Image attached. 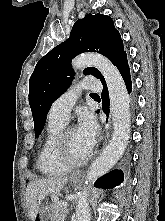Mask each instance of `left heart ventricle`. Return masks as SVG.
<instances>
[{"label": "left heart ventricle", "instance_id": "obj_1", "mask_svg": "<svg viewBox=\"0 0 165 221\" xmlns=\"http://www.w3.org/2000/svg\"><path fill=\"white\" fill-rule=\"evenodd\" d=\"M67 148L69 154L74 159L83 158L91 149L77 129H73L69 132L67 137Z\"/></svg>", "mask_w": 165, "mask_h": 221}]
</instances>
